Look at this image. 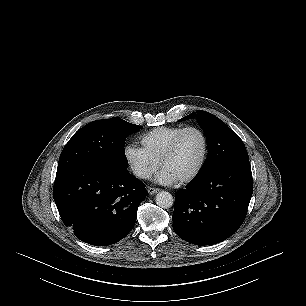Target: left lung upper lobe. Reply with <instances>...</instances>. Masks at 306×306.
Instances as JSON below:
<instances>
[{"label":"left lung upper lobe","instance_id":"5c2ea615","mask_svg":"<svg viewBox=\"0 0 306 306\" xmlns=\"http://www.w3.org/2000/svg\"><path fill=\"white\" fill-rule=\"evenodd\" d=\"M194 116L195 113H191L180 119V121L193 118ZM197 118L204 130L209 149L207 158L198 174L223 164L249 161L244 143L223 121L201 110L198 111Z\"/></svg>","mask_w":306,"mask_h":306}]
</instances>
